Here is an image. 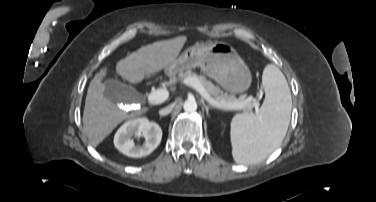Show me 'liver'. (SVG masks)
Here are the masks:
<instances>
[{"label": "liver", "instance_id": "6515ba94", "mask_svg": "<svg viewBox=\"0 0 376 202\" xmlns=\"http://www.w3.org/2000/svg\"><path fill=\"white\" fill-rule=\"evenodd\" d=\"M186 40V36H178L143 46L120 60L116 65V71L128 82L139 83L145 77L157 74L172 63ZM107 72L108 68L104 67L95 75L90 82L85 100L83 126L93 147H97L123 120L133 118L147 110L127 113L105 98L102 79L106 77Z\"/></svg>", "mask_w": 376, "mask_h": 202}]
</instances>
